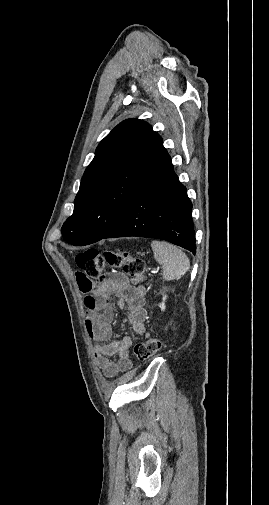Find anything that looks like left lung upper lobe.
I'll return each mask as SVG.
<instances>
[{"label": "left lung upper lobe", "instance_id": "1", "mask_svg": "<svg viewBox=\"0 0 269 505\" xmlns=\"http://www.w3.org/2000/svg\"><path fill=\"white\" fill-rule=\"evenodd\" d=\"M159 135L143 120L127 119L98 145L62 236L80 246L101 240L128 203Z\"/></svg>", "mask_w": 269, "mask_h": 505}]
</instances>
